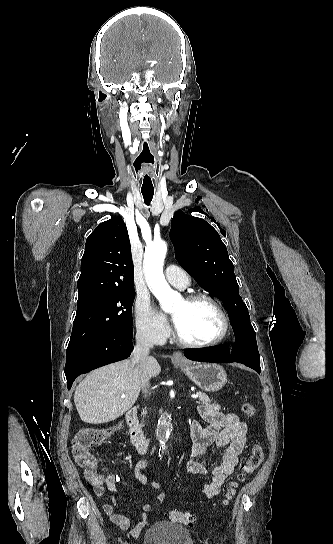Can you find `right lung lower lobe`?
Masks as SVG:
<instances>
[{"instance_id": "1", "label": "right lung lower lobe", "mask_w": 333, "mask_h": 544, "mask_svg": "<svg viewBox=\"0 0 333 544\" xmlns=\"http://www.w3.org/2000/svg\"><path fill=\"white\" fill-rule=\"evenodd\" d=\"M132 337V326L125 327L67 354L65 376L68 389L79 375L129 357L133 350Z\"/></svg>"}]
</instances>
